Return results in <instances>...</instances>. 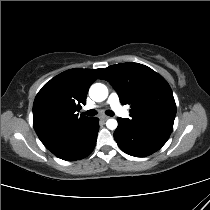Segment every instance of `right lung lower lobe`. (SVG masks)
I'll use <instances>...</instances> for the list:
<instances>
[{
  "label": "right lung lower lobe",
  "mask_w": 210,
  "mask_h": 210,
  "mask_svg": "<svg viewBox=\"0 0 210 210\" xmlns=\"http://www.w3.org/2000/svg\"><path fill=\"white\" fill-rule=\"evenodd\" d=\"M98 131L99 119L91 117L88 122L70 130L47 148L63 160H79L88 156L93 151Z\"/></svg>",
  "instance_id": "1"
}]
</instances>
